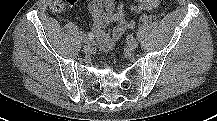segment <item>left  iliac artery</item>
I'll return each instance as SVG.
<instances>
[{
  "mask_svg": "<svg viewBox=\"0 0 217 121\" xmlns=\"http://www.w3.org/2000/svg\"><path fill=\"white\" fill-rule=\"evenodd\" d=\"M139 22L141 24H149L152 22V18L148 15H142L139 19Z\"/></svg>",
  "mask_w": 217,
  "mask_h": 121,
  "instance_id": "obj_1",
  "label": "left iliac artery"
}]
</instances>
